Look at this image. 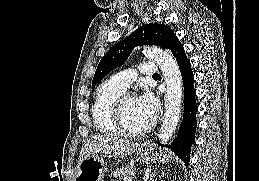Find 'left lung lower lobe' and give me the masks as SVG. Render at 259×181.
Here are the masks:
<instances>
[{
	"label": "left lung lower lobe",
	"instance_id": "left-lung-lower-lobe-1",
	"mask_svg": "<svg viewBox=\"0 0 259 181\" xmlns=\"http://www.w3.org/2000/svg\"><path fill=\"white\" fill-rule=\"evenodd\" d=\"M170 50L176 58L183 79L184 115L178 136L174 142L169 145V148L188 166L190 161V149L195 141L197 126L196 113L198 106L195 100L194 74L191 69L190 60L187 58L182 44L178 41Z\"/></svg>",
	"mask_w": 259,
	"mask_h": 181
}]
</instances>
